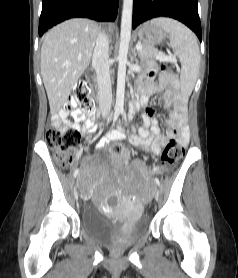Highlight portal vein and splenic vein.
I'll list each match as a JSON object with an SVG mask.
<instances>
[{"label": "portal vein and splenic vein", "mask_w": 238, "mask_h": 278, "mask_svg": "<svg viewBox=\"0 0 238 278\" xmlns=\"http://www.w3.org/2000/svg\"><path fill=\"white\" fill-rule=\"evenodd\" d=\"M136 49L140 51V50L143 49V47H142L141 44H137ZM157 59L158 60H163V61H171V62H174V63L177 62L176 57H174V56H165V55H162V54L158 55Z\"/></svg>", "instance_id": "portal-vein-and-splenic-vein-1"}]
</instances>
